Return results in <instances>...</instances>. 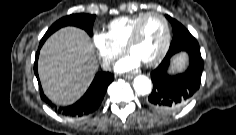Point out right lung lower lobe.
<instances>
[{
	"label": "right lung lower lobe",
	"mask_w": 236,
	"mask_h": 135,
	"mask_svg": "<svg viewBox=\"0 0 236 135\" xmlns=\"http://www.w3.org/2000/svg\"><path fill=\"white\" fill-rule=\"evenodd\" d=\"M46 39H42L40 41L39 49L43 45ZM39 56V50L36 53L35 63H34V73L39 82L38 69H37V61ZM114 80V75L110 72H98L90 85L87 92L84 96L78 100L75 104L67 106V107H56L51 101L44 95L43 90L39 83V88L41 92V96L43 100L48 103L51 107L55 108V110L65 116L80 118L85 117L91 113H93L101 104V101L104 98L107 87Z\"/></svg>",
	"instance_id": "98d812e1"
}]
</instances>
